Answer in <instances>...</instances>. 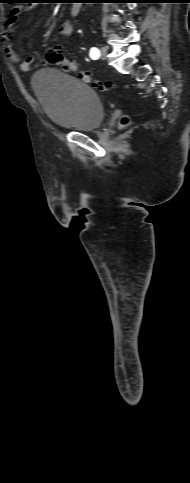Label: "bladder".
<instances>
[{
    "label": "bladder",
    "mask_w": 190,
    "mask_h": 483,
    "mask_svg": "<svg viewBox=\"0 0 190 483\" xmlns=\"http://www.w3.org/2000/svg\"><path fill=\"white\" fill-rule=\"evenodd\" d=\"M47 118L63 130L98 129L105 116L100 97L84 82L55 69L37 72L31 81Z\"/></svg>",
    "instance_id": "bladder-1"
}]
</instances>
